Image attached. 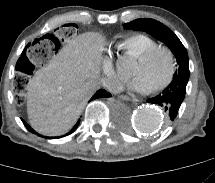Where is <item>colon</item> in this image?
<instances>
[{
    "instance_id": "colon-1",
    "label": "colon",
    "mask_w": 215,
    "mask_h": 183,
    "mask_svg": "<svg viewBox=\"0 0 215 183\" xmlns=\"http://www.w3.org/2000/svg\"><path fill=\"white\" fill-rule=\"evenodd\" d=\"M80 37V26L75 22H66L59 25L54 33L32 40L25 56L21 58L17 66L18 75L14 80L16 91L20 93L27 88L34 67L45 64L58 54L62 49V43H75Z\"/></svg>"
}]
</instances>
